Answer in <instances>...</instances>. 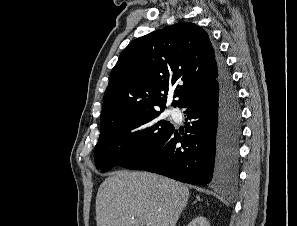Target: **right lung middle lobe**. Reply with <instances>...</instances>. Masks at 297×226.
I'll list each match as a JSON object with an SVG mask.
<instances>
[{
	"instance_id": "right-lung-middle-lobe-1",
	"label": "right lung middle lobe",
	"mask_w": 297,
	"mask_h": 226,
	"mask_svg": "<svg viewBox=\"0 0 297 226\" xmlns=\"http://www.w3.org/2000/svg\"><path fill=\"white\" fill-rule=\"evenodd\" d=\"M163 110L149 111L101 129L94 149L97 169L106 172L152 150L174 126L162 118Z\"/></svg>"
}]
</instances>
